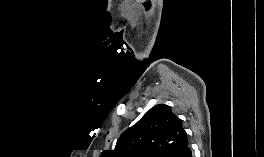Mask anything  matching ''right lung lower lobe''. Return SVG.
I'll return each mask as SVG.
<instances>
[{"label":"right lung lower lobe","instance_id":"obj_1","mask_svg":"<svg viewBox=\"0 0 264 157\" xmlns=\"http://www.w3.org/2000/svg\"><path fill=\"white\" fill-rule=\"evenodd\" d=\"M176 157H193L189 146L185 147Z\"/></svg>","mask_w":264,"mask_h":157}]
</instances>
